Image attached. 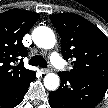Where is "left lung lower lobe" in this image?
Listing matches in <instances>:
<instances>
[{"instance_id": "1", "label": "left lung lower lobe", "mask_w": 108, "mask_h": 108, "mask_svg": "<svg viewBox=\"0 0 108 108\" xmlns=\"http://www.w3.org/2000/svg\"><path fill=\"white\" fill-rule=\"evenodd\" d=\"M61 85L49 94L51 108H94L104 97L108 81L59 72Z\"/></svg>"}]
</instances>
